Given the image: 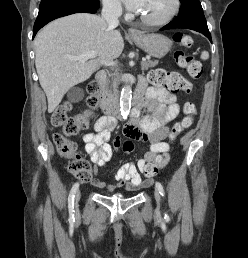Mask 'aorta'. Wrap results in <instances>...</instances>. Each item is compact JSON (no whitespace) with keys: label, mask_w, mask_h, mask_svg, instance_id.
<instances>
[{"label":"aorta","mask_w":248,"mask_h":258,"mask_svg":"<svg viewBox=\"0 0 248 258\" xmlns=\"http://www.w3.org/2000/svg\"><path fill=\"white\" fill-rule=\"evenodd\" d=\"M132 101V87L131 82H126L125 86L122 88L120 96V112L122 117L125 119L130 113Z\"/></svg>","instance_id":"aorta-1"}]
</instances>
